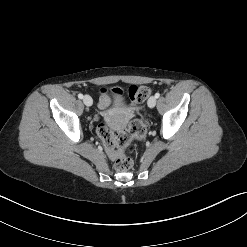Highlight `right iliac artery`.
Returning <instances> with one entry per match:
<instances>
[{"label":"right iliac artery","instance_id":"1","mask_svg":"<svg viewBox=\"0 0 247 247\" xmlns=\"http://www.w3.org/2000/svg\"><path fill=\"white\" fill-rule=\"evenodd\" d=\"M78 98H79V99H82V98H83V94H81V93L78 94Z\"/></svg>","mask_w":247,"mask_h":247}]
</instances>
